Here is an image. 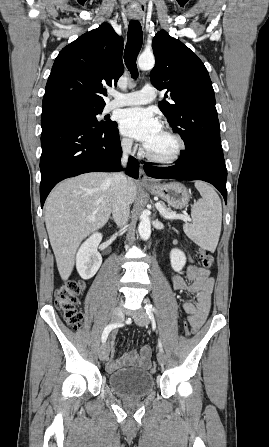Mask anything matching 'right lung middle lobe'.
Masks as SVG:
<instances>
[{"label": "right lung middle lobe", "instance_id": "1", "mask_svg": "<svg viewBox=\"0 0 269 447\" xmlns=\"http://www.w3.org/2000/svg\"><path fill=\"white\" fill-rule=\"evenodd\" d=\"M105 105H74L62 107L57 110L69 111L78 116L82 122L94 126L98 129H113L117 127V123L114 121H101L99 122L97 116L101 114Z\"/></svg>", "mask_w": 269, "mask_h": 447}]
</instances>
